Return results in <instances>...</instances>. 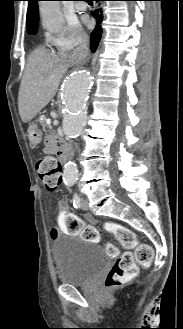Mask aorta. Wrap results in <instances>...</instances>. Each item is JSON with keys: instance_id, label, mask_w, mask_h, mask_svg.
Instances as JSON below:
<instances>
[{"instance_id": "762f6f07", "label": "aorta", "mask_w": 183, "mask_h": 329, "mask_svg": "<svg viewBox=\"0 0 183 329\" xmlns=\"http://www.w3.org/2000/svg\"><path fill=\"white\" fill-rule=\"evenodd\" d=\"M42 25L47 30L57 33L64 26V18L57 1H42L40 5ZM94 77L85 69L72 72L66 79L61 102L63 106V132L68 138H76L82 132L87 119V101L93 89ZM78 177V169L74 162L69 161L64 166L63 180L72 186Z\"/></svg>"}]
</instances>
